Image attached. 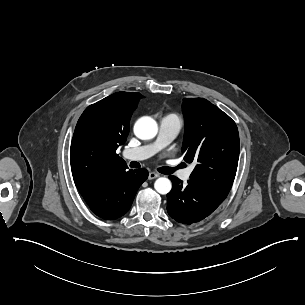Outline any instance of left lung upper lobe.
Listing matches in <instances>:
<instances>
[{
  "label": "left lung upper lobe",
  "instance_id": "obj_1",
  "mask_svg": "<svg viewBox=\"0 0 305 305\" xmlns=\"http://www.w3.org/2000/svg\"><path fill=\"white\" fill-rule=\"evenodd\" d=\"M182 110L184 160L198 162L190 180L229 192L239 159V134L235 122L203 98L184 99Z\"/></svg>",
  "mask_w": 305,
  "mask_h": 305
}]
</instances>
